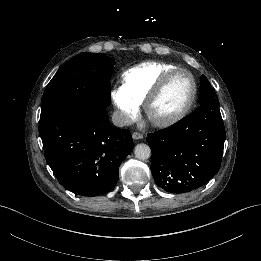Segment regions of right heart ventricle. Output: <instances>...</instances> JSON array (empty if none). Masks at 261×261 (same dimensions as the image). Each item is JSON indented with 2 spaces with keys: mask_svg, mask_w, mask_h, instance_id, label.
<instances>
[{
  "mask_svg": "<svg viewBox=\"0 0 261 261\" xmlns=\"http://www.w3.org/2000/svg\"><path fill=\"white\" fill-rule=\"evenodd\" d=\"M174 68L172 64L159 61L137 64L123 72L122 88L139 104L144 103L161 78Z\"/></svg>",
  "mask_w": 261,
  "mask_h": 261,
  "instance_id": "1",
  "label": "right heart ventricle"
}]
</instances>
